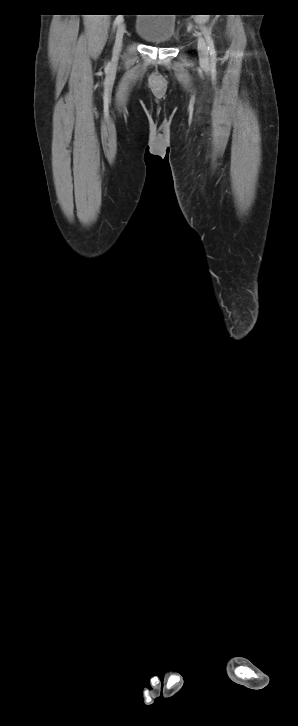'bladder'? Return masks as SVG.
I'll return each mask as SVG.
<instances>
[{"instance_id": "31cf9c89", "label": "bladder", "mask_w": 298, "mask_h": 726, "mask_svg": "<svg viewBox=\"0 0 298 726\" xmlns=\"http://www.w3.org/2000/svg\"><path fill=\"white\" fill-rule=\"evenodd\" d=\"M135 25V33L155 46L169 45L175 35L176 20L170 14H141Z\"/></svg>"}]
</instances>
